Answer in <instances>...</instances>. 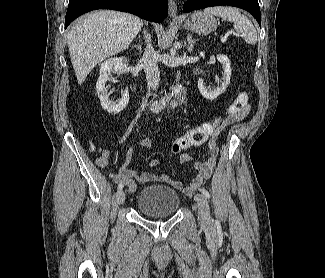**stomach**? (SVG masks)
<instances>
[{
  "label": "stomach",
  "mask_w": 325,
  "mask_h": 278,
  "mask_svg": "<svg viewBox=\"0 0 325 278\" xmlns=\"http://www.w3.org/2000/svg\"><path fill=\"white\" fill-rule=\"evenodd\" d=\"M183 26L198 34H209L216 30L217 22L211 14L196 11L185 20Z\"/></svg>",
  "instance_id": "stomach-1"
}]
</instances>
